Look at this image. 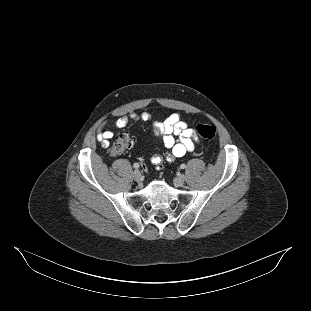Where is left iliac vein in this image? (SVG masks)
<instances>
[{
    "label": "left iliac vein",
    "mask_w": 311,
    "mask_h": 311,
    "mask_svg": "<svg viewBox=\"0 0 311 311\" xmlns=\"http://www.w3.org/2000/svg\"><path fill=\"white\" fill-rule=\"evenodd\" d=\"M173 182L176 186H182L185 182V176L184 175H178L174 178Z\"/></svg>",
    "instance_id": "obj_1"
}]
</instances>
